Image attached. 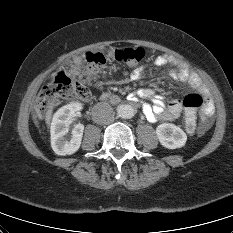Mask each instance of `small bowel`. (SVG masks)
I'll return each instance as SVG.
<instances>
[{
	"label": "small bowel",
	"mask_w": 233,
	"mask_h": 233,
	"mask_svg": "<svg viewBox=\"0 0 233 233\" xmlns=\"http://www.w3.org/2000/svg\"><path fill=\"white\" fill-rule=\"evenodd\" d=\"M153 63L156 66H163L169 63L175 64V61L170 56L162 54L157 56L153 60ZM142 71L143 67H136L131 72V79L139 78ZM169 74L173 79L187 82L194 90L202 94L206 99V104L201 110V124L199 127L200 132H205L211 126V116L214 111V106L206 86L196 74L192 73L188 68L180 65L178 68L172 69ZM129 100L132 102L139 100L150 101V103H143V112L150 122H158L161 120L176 121L180 118L183 109V103L180 100L175 99L166 104L161 98L157 97L155 95V91L150 88H142L135 94H131L129 96ZM195 129V123L193 125L187 124L188 133L192 134Z\"/></svg>",
	"instance_id": "small-bowel-1"
}]
</instances>
